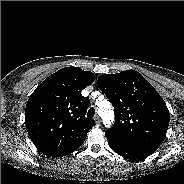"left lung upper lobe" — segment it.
Here are the masks:
<instances>
[{
  "mask_svg": "<svg viewBox=\"0 0 184 184\" xmlns=\"http://www.w3.org/2000/svg\"><path fill=\"white\" fill-rule=\"evenodd\" d=\"M97 83L115 111V124L105 133L154 153L165 139L170 119L155 88L135 70L102 74Z\"/></svg>",
  "mask_w": 184,
  "mask_h": 184,
  "instance_id": "1",
  "label": "left lung upper lobe"
}]
</instances>
